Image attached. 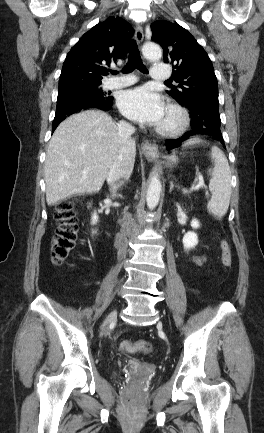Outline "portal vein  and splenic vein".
Returning <instances> with one entry per match:
<instances>
[{"instance_id":"1","label":"portal vein and splenic vein","mask_w":264,"mask_h":433,"mask_svg":"<svg viewBox=\"0 0 264 433\" xmlns=\"http://www.w3.org/2000/svg\"><path fill=\"white\" fill-rule=\"evenodd\" d=\"M83 174L86 175V174H87V171H84ZM201 187H205V184H204L203 181H199V183H198L197 185L192 186V187H191V190H194V191H195V190L200 189ZM206 194H208V193L206 192Z\"/></svg>"}]
</instances>
